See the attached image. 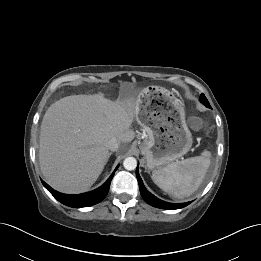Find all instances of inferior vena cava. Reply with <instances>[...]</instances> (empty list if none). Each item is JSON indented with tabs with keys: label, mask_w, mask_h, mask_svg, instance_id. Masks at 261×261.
I'll use <instances>...</instances> for the list:
<instances>
[{
	"label": "inferior vena cava",
	"mask_w": 261,
	"mask_h": 261,
	"mask_svg": "<svg viewBox=\"0 0 261 261\" xmlns=\"http://www.w3.org/2000/svg\"><path fill=\"white\" fill-rule=\"evenodd\" d=\"M120 142L116 138H111L107 143L106 147L110 151H117L119 148Z\"/></svg>",
	"instance_id": "inferior-vena-cava-1"
}]
</instances>
